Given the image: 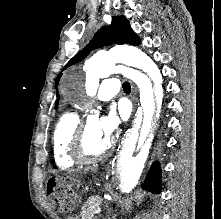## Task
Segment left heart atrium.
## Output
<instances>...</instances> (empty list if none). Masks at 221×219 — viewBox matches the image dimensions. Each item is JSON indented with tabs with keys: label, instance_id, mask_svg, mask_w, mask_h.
Listing matches in <instances>:
<instances>
[{
	"label": "left heart atrium",
	"instance_id": "left-heart-atrium-1",
	"mask_svg": "<svg viewBox=\"0 0 221 219\" xmlns=\"http://www.w3.org/2000/svg\"><path fill=\"white\" fill-rule=\"evenodd\" d=\"M119 124L120 121L116 113L114 111H109L107 115L99 120V129L105 137L110 139L117 130Z\"/></svg>",
	"mask_w": 221,
	"mask_h": 219
}]
</instances>
